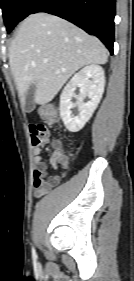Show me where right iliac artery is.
Here are the masks:
<instances>
[{"label": "right iliac artery", "mask_w": 134, "mask_h": 281, "mask_svg": "<svg viewBox=\"0 0 134 281\" xmlns=\"http://www.w3.org/2000/svg\"><path fill=\"white\" fill-rule=\"evenodd\" d=\"M32 255H33V258L36 259L37 258V255H36V252H35V249L32 248Z\"/></svg>", "instance_id": "1"}]
</instances>
